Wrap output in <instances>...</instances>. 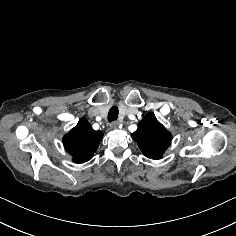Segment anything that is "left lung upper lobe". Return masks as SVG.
I'll return each instance as SVG.
<instances>
[{"instance_id": "1", "label": "left lung upper lobe", "mask_w": 236, "mask_h": 236, "mask_svg": "<svg viewBox=\"0 0 236 236\" xmlns=\"http://www.w3.org/2000/svg\"><path fill=\"white\" fill-rule=\"evenodd\" d=\"M132 138L146 157L160 159L170 145L172 135L158 122L153 113H148L138 124Z\"/></svg>"}]
</instances>
